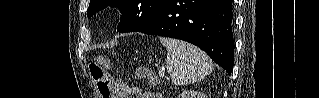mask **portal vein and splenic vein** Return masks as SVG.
<instances>
[{
    "mask_svg": "<svg viewBox=\"0 0 319 98\" xmlns=\"http://www.w3.org/2000/svg\"><path fill=\"white\" fill-rule=\"evenodd\" d=\"M159 75H160V76L164 75L163 70H160V71H159Z\"/></svg>",
    "mask_w": 319,
    "mask_h": 98,
    "instance_id": "portal-vein-and-splenic-vein-1",
    "label": "portal vein and splenic vein"
}]
</instances>
